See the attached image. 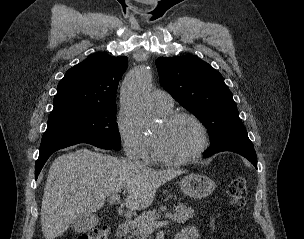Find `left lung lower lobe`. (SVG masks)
Segmentation results:
<instances>
[{"mask_svg": "<svg viewBox=\"0 0 304 239\" xmlns=\"http://www.w3.org/2000/svg\"><path fill=\"white\" fill-rule=\"evenodd\" d=\"M224 151H232L234 153L240 154L243 157L247 158L256 168H257V156L254 149H230ZM221 152V151H219ZM217 152H205V157H209L210 155Z\"/></svg>", "mask_w": 304, "mask_h": 239, "instance_id": "obj_1", "label": "left lung lower lobe"}]
</instances>
